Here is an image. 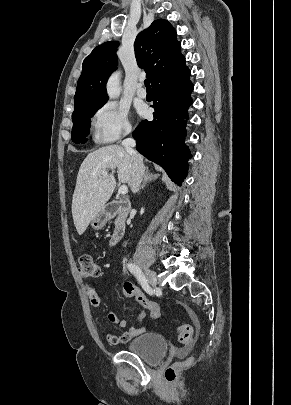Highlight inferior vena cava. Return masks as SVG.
<instances>
[{
  "instance_id": "1",
  "label": "inferior vena cava",
  "mask_w": 291,
  "mask_h": 405,
  "mask_svg": "<svg viewBox=\"0 0 291 405\" xmlns=\"http://www.w3.org/2000/svg\"><path fill=\"white\" fill-rule=\"evenodd\" d=\"M122 146L126 152L131 156L132 161V176H131V190L133 193L138 192L140 184L144 177V165L141 157L134 150L135 140L133 138H126L122 142Z\"/></svg>"
}]
</instances>
